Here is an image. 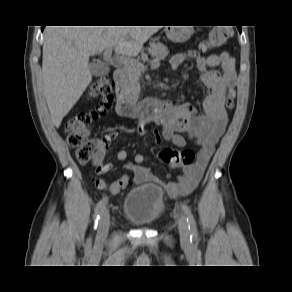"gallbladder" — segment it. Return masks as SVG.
I'll return each instance as SVG.
<instances>
[{"instance_id": "bac80fb5", "label": "gallbladder", "mask_w": 292, "mask_h": 292, "mask_svg": "<svg viewBox=\"0 0 292 292\" xmlns=\"http://www.w3.org/2000/svg\"><path fill=\"white\" fill-rule=\"evenodd\" d=\"M89 70H90L91 74L95 75V76L106 75L108 72L107 67L105 65H101L99 63H91L89 65Z\"/></svg>"}]
</instances>
